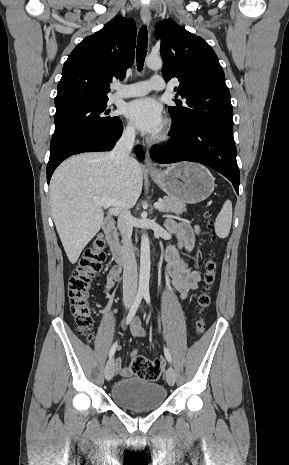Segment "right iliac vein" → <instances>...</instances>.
Instances as JSON below:
<instances>
[{"mask_svg": "<svg viewBox=\"0 0 289 465\" xmlns=\"http://www.w3.org/2000/svg\"><path fill=\"white\" fill-rule=\"evenodd\" d=\"M131 305V300L130 299H127L125 301V306L126 308H129ZM105 378L106 380H111L114 376V373H115V363H114V359L113 358H110L105 366Z\"/></svg>", "mask_w": 289, "mask_h": 465, "instance_id": "right-iliac-vein-1", "label": "right iliac vein"}]
</instances>
